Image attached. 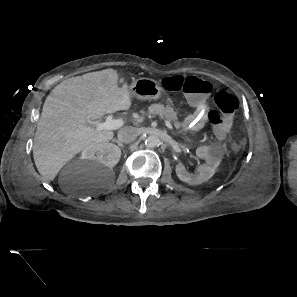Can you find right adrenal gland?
<instances>
[{
  "mask_svg": "<svg viewBox=\"0 0 297 297\" xmlns=\"http://www.w3.org/2000/svg\"><path fill=\"white\" fill-rule=\"evenodd\" d=\"M112 142H116L118 144L119 147L123 148L124 145L117 139H112Z\"/></svg>",
  "mask_w": 297,
  "mask_h": 297,
  "instance_id": "1",
  "label": "right adrenal gland"
}]
</instances>
